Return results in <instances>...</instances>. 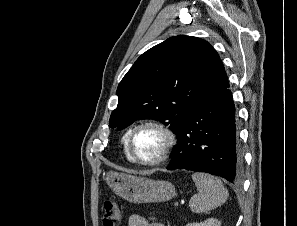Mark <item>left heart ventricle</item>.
Wrapping results in <instances>:
<instances>
[{
	"label": "left heart ventricle",
	"mask_w": 297,
	"mask_h": 226,
	"mask_svg": "<svg viewBox=\"0 0 297 226\" xmlns=\"http://www.w3.org/2000/svg\"><path fill=\"white\" fill-rule=\"evenodd\" d=\"M163 143L164 137L158 130L146 127L136 133L133 149L140 159L150 160L158 155Z\"/></svg>",
	"instance_id": "obj_1"
}]
</instances>
